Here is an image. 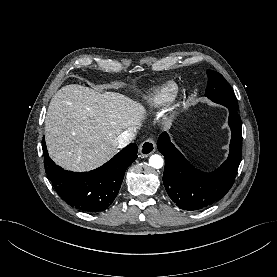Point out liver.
Here are the masks:
<instances>
[{"label": "liver", "mask_w": 277, "mask_h": 277, "mask_svg": "<svg viewBox=\"0 0 277 277\" xmlns=\"http://www.w3.org/2000/svg\"><path fill=\"white\" fill-rule=\"evenodd\" d=\"M145 113L142 104L122 94L66 85L52 97L46 114L49 155L67 170L98 168L118 152V136L141 126Z\"/></svg>", "instance_id": "obj_1"}]
</instances>
